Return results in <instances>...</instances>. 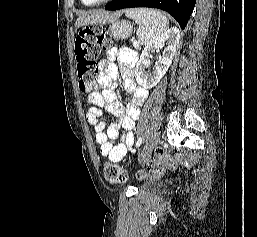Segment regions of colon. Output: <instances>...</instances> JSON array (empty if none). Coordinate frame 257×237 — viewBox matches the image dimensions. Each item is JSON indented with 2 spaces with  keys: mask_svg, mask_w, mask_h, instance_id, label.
Returning <instances> with one entry per match:
<instances>
[{
  "mask_svg": "<svg viewBox=\"0 0 257 237\" xmlns=\"http://www.w3.org/2000/svg\"><path fill=\"white\" fill-rule=\"evenodd\" d=\"M111 47L110 38L104 31L96 26L83 28L75 40L74 51L77 61L78 85L82 92L89 91L94 85L97 73V58L101 49ZM174 166V159L159 150L156 154V160L148 163L147 171H140L139 177H160L167 168ZM105 179L118 184L124 182L127 178L126 172L116 163L106 162L103 166Z\"/></svg>",
  "mask_w": 257,
  "mask_h": 237,
  "instance_id": "obj_1",
  "label": "colon"
}]
</instances>
